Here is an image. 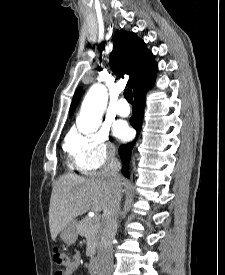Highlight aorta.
Returning <instances> with one entry per match:
<instances>
[{"label": "aorta", "instance_id": "762f6f07", "mask_svg": "<svg viewBox=\"0 0 225 275\" xmlns=\"http://www.w3.org/2000/svg\"><path fill=\"white\" fill-rule=\"evenodd\" d=\"M108 101L107 89L96 83L87 92L76 119V125L82 134L90 136L100 127L102 116Z\"/></svg>", "mask_w": 225, "mask_h": 275}]
</instances>
